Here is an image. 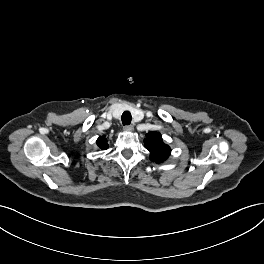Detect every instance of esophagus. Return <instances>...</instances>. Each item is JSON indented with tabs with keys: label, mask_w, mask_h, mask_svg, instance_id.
<instances>
[{
	"label": "esophagus",
	"mask_w": 264,
	"mask_h": 264,
	"mask_svg": "<svg viewBox=\"0 0 264 264\" xmlns=\"http://www.w3.org/2000/svg\"><path fill=\"white\" fill-rule=\"evenodd\" d=\"M124 130L128 131V132H131V131L134 130V126L133 125H126V126H124Z\"/></svg>",
	"instance_id": "1"
}]
</instances>
